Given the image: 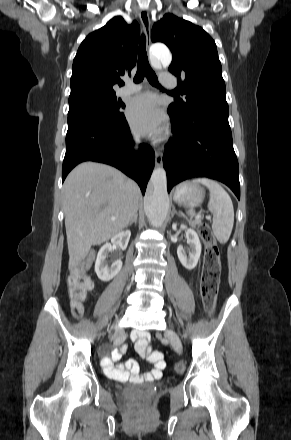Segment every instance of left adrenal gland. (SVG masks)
Wrapping results in <instances>:
<instances>
[{
    "mask_svg": "<svg viewBox=\"0 0 291 440\" xmlns=\"http://www.w3.org/2000/svg\"><path fill=\"white\" fill-rule=\"evenodd\" d=\"M174 214H178V215H179V213L175 210V208H173L172 216H173Z\"/></svg>",
    "mask_w": 291,
    "mask_h": 440,
    "instance_id": "1",
    "label": "left adrenal gland"
}]
</instances>
